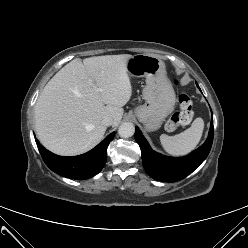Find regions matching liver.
<instances>
[{
  "label": "liver",
  "mask_w": 248,
  "mask_h": 248,
  "mask_svg": "<svg viewBox=\"0 0 248 248\" xmlns=\"http://www.w3.org/2000/svg\"><path fill=\"white\" fill-rule=\"evenodd\" d=\"M129 54L76 58L44 87L35 105V130L48 150L64 156L85 153L103 138L104 117L117 125L132 95Z\"/></svg>",
  "instance_id": "liver-1"
}]
</instances>
